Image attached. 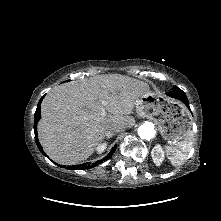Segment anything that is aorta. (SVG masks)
Segmentation results:
<instances>
[{
  "label": "aorta",
  "instance_id": "1",
  "mask_svg": "<svg viewBox=\"0 0 221 221\" xmlns=\"http://www.w3.org/2000/svg\"><path fill=\"white\" fill-rule=\"evenodd\" d=\"M138 135L141 139L150 140L155 135L154 125L150 122H147L138 128Z\"/></svg>",
  "mask_w": 221,
  "mask_h": 221
}]
</instances>
